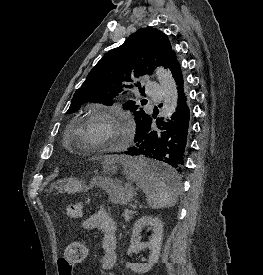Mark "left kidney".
<instances>
[{"instance_id":"obj_1","label":"left kidney","mask_w":263,"mask_h":275,"mask_svg":"<svg viewBox=\"0 0 263 275\" xmlns=\"http://www.w3.org/2000/svg\"><path fill=\"white\" fill-rule=\"evenodd\" d=\"M151 227L153 234L151 239L147 243L140 242L139 235L143 228ZM163 225L157 217L143 216L133 226L132 235L130 240V247L127 250L128 255H132L137 251L143 249H150L149 260L147 263H128V267L131 271L139 274H145L148 272L155 263L158 262L162 244Z\"/></svg>"}]
</instances>
